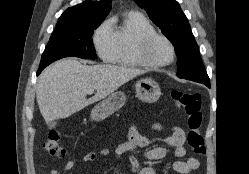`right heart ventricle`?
<instances>
[{
	"instance_id": "obj_1",
	"label": "right heart ventricle",
	"mask_w": 249,
	"mask_h": 174,
	"mask_svg": "<svg viewBox=\"0 0 249 174\" xmlns=\"http://www.w3.org/2000/svg\"><path fill=\"white\" fill-rule=\"evenodd\" d=\"M111 27L116 50L110 62L125 67H150L136 52L140 39L146 34L156 32L149 19L139 12L130 11L123 15L119 24L113 22Z\"/></svg>"
}]
</instances>
